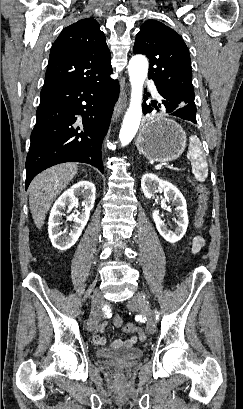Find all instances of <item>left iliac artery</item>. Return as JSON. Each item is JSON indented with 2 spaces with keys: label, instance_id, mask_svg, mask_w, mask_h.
<instances>
[{
  "label": "left iliac artery",
  "instance_id": "obj_1",
  "mask_svg": "<svg viewBox=\"0 0 243 409\" xmlns=\"http://www.w3.org/2000/svg\"><path fill=\"white\" fill-rule=\"evenodd\" d=\"M158 317H159V316H158V315H156V319H157V320H158Z\"/></svg>",
  "mask_w": 243,
  "mask_h": 409
}]
</instances>
